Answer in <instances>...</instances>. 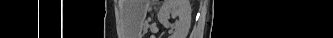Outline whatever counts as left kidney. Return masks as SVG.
Returning a JSON list of instances; mask_svg holds the SVG:
<instances>
[{
	"instance_id": "1",
	"label": "left kidney",
	"mask_w": 333,
	"mask_h": 38,
	"mask_svg": "<svg viewBox=\"0 0 333 38\" xmlns=\"http://www.w3.org/2000/svg\"><path fill=\"white\" fill-rule=\"evenodd\" d=\"M158 20L165 28H172L170 38H186L191 24V6L189 0H165L158 12ZM170 17L178 19L171 24Z\"/></svg>"
}]
</instances>
